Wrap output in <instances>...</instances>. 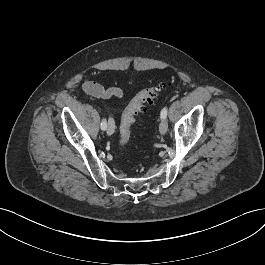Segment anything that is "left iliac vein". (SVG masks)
Returning <instances> with one entry per match:
<instances>
[{"instance_id":"1","label":"left iliac vein","mask_w":265,"mask_h":265,"mask_svg":"<svg viewBox=\"0 0 265 265\" xmlns=\"http://www.w3.org/2000/svg\"><path fill=\"white\" fill-rule=\"evenodd\" d=\"M168 130V122L165 118H162L160 124H159V131L162 135L166 134Z\"/></svg>"}]
</instances>
